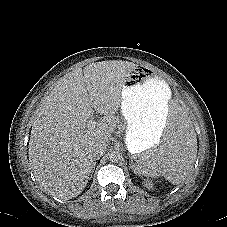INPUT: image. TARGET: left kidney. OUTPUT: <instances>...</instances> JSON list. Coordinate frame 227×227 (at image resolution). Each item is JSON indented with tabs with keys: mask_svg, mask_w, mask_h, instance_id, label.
Returning <instances> with one entry per match:
<instances>
[{
	"mask_svg": "<svg viewBox=\"0 0 227 227\" xmlns=\"http://www.w3.org/2000/svg\"><path fill=\"white\" fill-rule=\"evenodd\" d=\"M145 186L148 188V189H152L153 188V184L149 181H146L145 182Z\"/></svg>",
	"mask_w": 227,
	"mask_h": 227,
	"instance_id": "obj_1",
	"label": "left kidney"
}]
</instances>
